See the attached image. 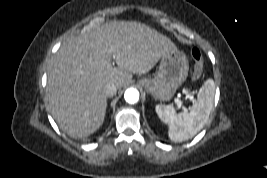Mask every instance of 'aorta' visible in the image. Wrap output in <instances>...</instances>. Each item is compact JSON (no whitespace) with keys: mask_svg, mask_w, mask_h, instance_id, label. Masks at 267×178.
Masks as SVG:
<instances>
[{"mask_svg":"<svg viewBox=\"0 0 267 178\" xmlns=\"http://www.w3.org/2000/svg\"><path fill=\"white\" fill-rule=\"evenodd\" d=\"M124 99L129 104L137 103L139 100V91L135 88H129L124 93Z\"/></svg>","mask_w":267,"mask_h":178,"instance_id":"obj_1","label":"aorta"}]
</instances>
